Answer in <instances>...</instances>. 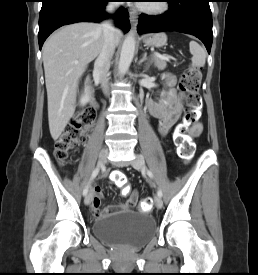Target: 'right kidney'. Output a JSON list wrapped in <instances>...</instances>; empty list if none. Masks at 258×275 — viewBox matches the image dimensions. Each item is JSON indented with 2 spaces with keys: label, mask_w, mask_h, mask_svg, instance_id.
Masks as SVG:
<instances>
[{
  "label": "right kidney",
  "mask_w": 258,
  "mask_h": 275,
  "mask_svg": "<svg viewBox=\"0 0 258 275\" xmlns=\"http://www.w3.org/2000/svg\"><path fill=\"white\" fill-rule=\"evenodd\" d=\"M88 101H89V94L85 91V93L82 94V96L80 98V105L85 106Z\"/></svg>",
  "instance_id": "ca27d5eb"
}]
</instances>
